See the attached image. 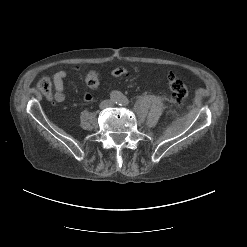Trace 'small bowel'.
<instances>
[{"label":"small bowel","mask_w":247,"mask_h":247,"mask_svg":"<svg viewBox=\"0 0 247 247\" xmlns=\"http://www.w3.org/2000/svg\"><path fill=\"white\" fill-rule=\"evenodd\" d=\"M74 70L78 71L79 68L75 67ZM125 73H126V69L123 67H119V68H116L112 71V76L117 78V77H121ZM67 77H68V72L65 70H60L53 75V84H54L55 91H56L55 99L58 102H61L65 99L64 83H65V79ZM160 81L161 80H159V82ZM84 100L86 102H91L93 100L92 94L91 93H85L84 94Z\"/></svg>","instance_id":"1"}]
</instances>
